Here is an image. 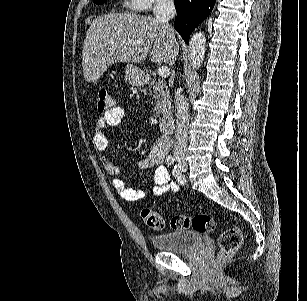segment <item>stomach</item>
I'll return each mask as SVG.
<instances>
[{"mask_svg": "<svg viewBox=\"0 0 307 301\" xmlns=\"http://www.w3.org/2000/svg\"><path fill=\"white\" fill-rule=\"evenodd\" d=\"M125 80L131 86H141L145 82V74L137 64H126Z\"/></svg>", "mask_w": 307, "mask_h": 301, "instance_id": "1", "label": "stomach"}]
</instances>
